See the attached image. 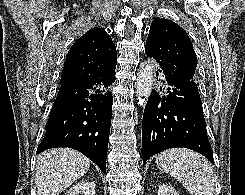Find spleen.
<instances>
[{"label": "spleen", "instance_id": "3e777b00", "mask_svg": "<svg viewBox=\"0 0 245 195\" xmlns=\"http://www.w3.org/2000/svg\"><path fill=\"white\" fill-rule=\"evenodd\" d=\"M156 166L183 184L191 195H213V170L206 158L185 148H173L159 154Z\"/></svg>", "mask_w": 245, "mask_h": 195}]
</instances>
